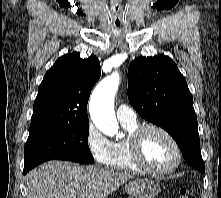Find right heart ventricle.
<instances>
[{"label":"right heart ventricle","mask_w":221,"mask_h":198,"mask_svg":"<svg viewBox=\"0 0 221 198\" xmlns=\"http://www.w3.org/2000/svg\"><path fill=\"white\" fill-rule=\"evenodd\" d=\"M128 133V137L124 140H119L112 143V153L109 166L115 170L128 171V172H142V170L135 164L129 139L131 134L139 127L137 122L134 123H121Z\"/></svg>","instance_id":"right-heart-ventricle-1"}]
</instances>
